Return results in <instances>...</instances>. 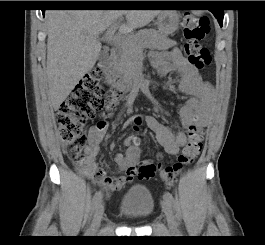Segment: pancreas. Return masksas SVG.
<instances>
[{
	"label": "pancreas",
	"mask_w": 265,
	"mask_h": 245,
	"mask_svg": "<svg viewBox=\"0 0 265 245\" xmlns=\"http://www.w3.org/2000/svg\"><path fill=\"white\" fill-rule=\"evenodd\" d=\"M129 40V43L120 46L114 63V69L125 78L126 83L132 82L143 48L166 50L177 44L154 29L141 30Z\"/></svg>",
	"instance_id": "cf45deb5"
}]
</instances>
